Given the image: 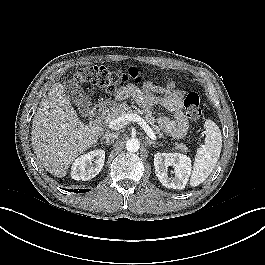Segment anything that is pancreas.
Returning <instances> with one entry per match:
<instances>
[{
    "label": "pancreas",
    "mask_w": 265,
    "mask_h": 265,
    "mask_svg": "<svg viewBox=\"0 0 265 265\" xmlns=\"http://www.w3.org/2000/svg\"><path fill=\"white\" fill-rule=\"evenodd\" d=\"M133 110L130 106H128L127 104L125 103H122L120 105H118L115 109H113L105 118V121L106 123H108L109 121H112L118 117H120L121 115L123 114H126V113H131ZM138 112H140L141 114H144V118L146 120L147 123H149L150 125H152L153 129H154V132L156 134H158V136L160 138H164V135L163 133H161V129L156 126L154 123H155V117L152 115V112L149 111V110H137ZM134 112H136V110H134ZM175 149L183 152V153H186L188 152V148L186 147L185 144L183 143H175Z\"/></svg>",
    "instance_id": "cf45deb5"
}]
</instances>
